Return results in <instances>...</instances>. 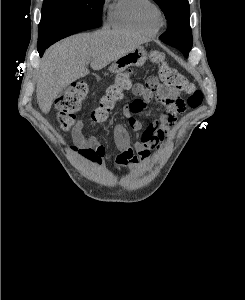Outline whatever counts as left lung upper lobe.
Returning a JSON list of instances; mask_svg holds the SVG:
<instances>
[{"label":"left lung upper lobe","instance_id":"5c2ea615","mask_svg":"<svg viewBox=\"0 0 245 300\" xmlns=\"http://www.w3.org/2000/svg\"><path fill=\"white\" fill-rule=\"evenodd\" d=\"M168 20V29L160 39L173 47L182 46L189 53L192 48V31L189 24L188 0H154Z\"/></svg>","mask_w":245,"mask_h":300}]
</instances>
